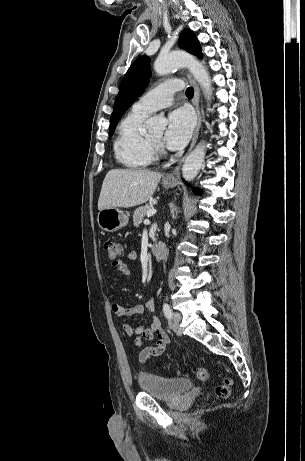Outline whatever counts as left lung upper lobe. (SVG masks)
<instances>
[{"label": "left lung upper lobe", "instance_id": "obj_1", "mask_svg": "<svg viewBox=\"0 0 305 461\" xmlns=\"http://www.w3.org/2000/svg\"><path fill=\"white\" fill-rule=\"evenodd\" d=\"M180 48L202 57L201 47L197 37L190 29H184L179 37ZM150 59L147 56L139 57L130 66L122 79L119 93L116 97L113 112L110 119V134H113L118 121L131 104L144 92L150 78Z\"/></svg>", "mask_w": 305, "mask_h": 461}]
</instances>
